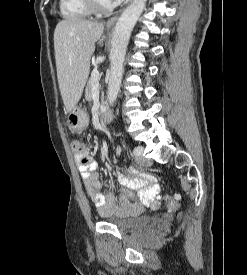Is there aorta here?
Returning a JSON list of instances; mask_svg holds the SVG:
<instances>
[{
    "instance_id": "aorta-1",
    "label": "aorta",
    "mask_w": 247,
    "mask_h": 275,
    "mask_svg": "<svg viewBox=\"0 0 247 275\" xmlns=\"http://www.w3.org/2000/svg\"><path fill=\"white\" fill-rule=\"evenodd\" d=\"M147 0H133L119 17L114 29L110 52V77L107 98L114 103L120 90L123 63L131 32L145 9Z\"/></svg>"
}]
</instances>
